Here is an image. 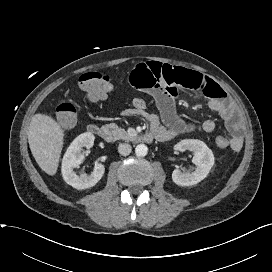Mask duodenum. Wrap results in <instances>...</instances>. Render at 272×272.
I'll list each match as a JSON object with an SVG mask.
<instances>
[{
  "label": "duodenum",
  "instance_id": "duodenum-1",
  "mask_svg": "<svg viewBox=\"0 0 272 272\" xmlns=\"http://www.w3.org/2000/svg\"><path fill=\"white\" fill-rule=\"evenodd\" d=\"M87 130L90 134H93L105 141L112 140V136L109 134V132L99 125L91 124L88 126ZM155 139H156L155 133L150 131L137 136L135 140L139 143H151Z\"/></svg>",
  "mask_w": 272,
  "mask_h": 272
}]
</instances>
